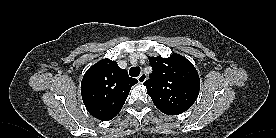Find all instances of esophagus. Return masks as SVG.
<instances>
[{"instance_id":"1","label":"esophagus","mask_w":276,"mask_h":138,"mask_svg":"<svg viewBox=\"0 0 276 138\" xmlns=\"http://www.w3.org/2000/svg\"><path fill=\"white\" fill-rule=\"evenodd\" d=\"M137 80H138V82H139L140 84L144 83V82L146 81V74L141 73V74L138 76Z\"/></svg>"}]
</instances>
